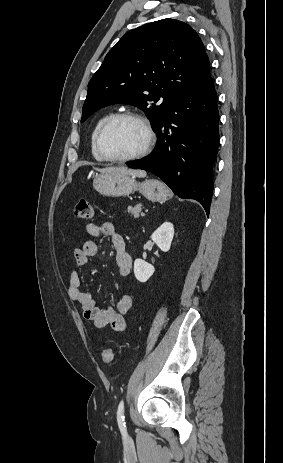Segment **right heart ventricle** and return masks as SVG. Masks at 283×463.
Masks as SVG:
<instances>
[{
    "instance_id": "obj_1",
    "label": "right heart ventricle",
    "mask_w": 283,
    "mask_h": 463,
    "mask_svg": "<svg viewBox=\"0 0 283 463\" xmlns=\"http://www.w3.org/2000/svg\"><path fill=\"white\" fill-rule=\"evenodd\" d=\"M111 115H113L112 112H108V113H105L104 115H102L98 120L97 122L95 123L93 129H92V132H91V135H90V150H91V154L93 156L94 159L96 160H103L102 157L99 155V153L97 152L96 150V146H95V137H96V133L99 129V127L102 125V123L107 119L109 118Z\"/></svg>"
}]
</instances>
